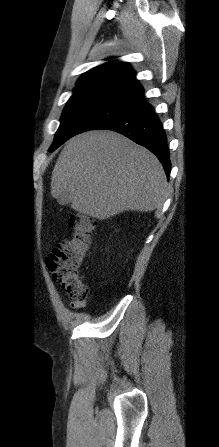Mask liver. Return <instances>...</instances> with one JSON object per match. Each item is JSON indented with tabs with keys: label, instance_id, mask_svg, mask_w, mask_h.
<instances>
[{
	"label": "liver",
	"instance_id": "6515ba94",
	"mask_svg": "<svg viewBox=\"0 0 219 447\" xmlns=\"http://www.w3.org/2000/svg\"><path fill=\"white\" fill-rule=\"evenodd\" d=\"M168 183L150 151L112 131H90L71 138L51 177L53 198L99 220L124 211L150 212L167 197Z\"/></svg>",
	"mask_w": 219,
	"mask_h": 447
}]
</instances>
